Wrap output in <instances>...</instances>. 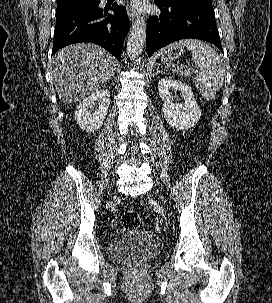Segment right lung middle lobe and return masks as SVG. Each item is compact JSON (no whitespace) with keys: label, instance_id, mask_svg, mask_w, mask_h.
Masks as SVG:
<instances>
[{"label":"right lung middle lobe","instance_id":"1","mask_svg":"<svg viewBox=\"0 0 272 303\" xmlns=\"http://www.w3.org/2000/svg\"><path fill=\"white\" fill-rule=\"evenodd\" d=\"M97 0H79L63 4H57L56 15L65 14L67 12L89 7L95 4Z\"/></svg>","mask_w":272,"mask_h":303}]
</instances>
